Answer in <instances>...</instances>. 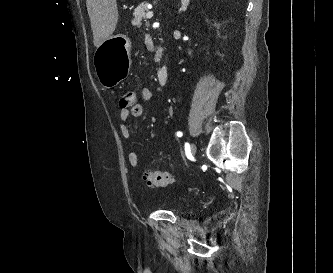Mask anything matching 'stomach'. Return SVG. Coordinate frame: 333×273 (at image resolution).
Listing matches in <instances>:
<instances>
[{"instance_id":"0dacf381","label":"stomach","mask_w":333,"mask_h":273,"mask_svg":"<svg viewBox=\"0 0 333 273\" xmlns=\"http://www.w3.org/2000/svg\"><path fill=\"white\" fill-rule=\"evenodd\" d=\"M131 41L124 34L106 39L94 54L97 81L106 88L116 86L130 70L129 52Z\"/></svg>"}]
</instances>
